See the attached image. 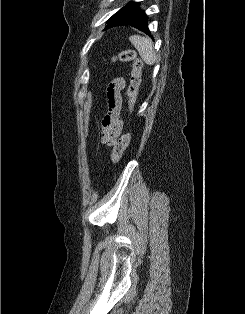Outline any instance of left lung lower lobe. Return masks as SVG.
<instances>
[{"label":"left lung lower lobe","mask_w":245,"mask_h":314,"mask_svg":"<svg viewBox=\"0 0 245 314\" xmlns=\"http://www.w3.org/2000/svg\"><path fill=\"white\" fill-rule=\"evenodd\" d=\"M128 25L133 26L134 28H137L140 31H143L150 35L149 29L147 27V16L144 13V11H140L136 17H134Z\"/></svg>","instance_id":"obj_1"}]
</instances>
